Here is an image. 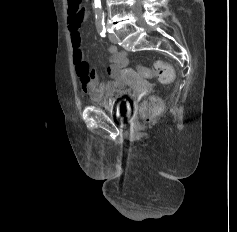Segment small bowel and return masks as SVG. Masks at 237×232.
I'll return each instance as SVG.
<instances>
[{
	"label": "small bowel",
	"mask_w": 237,
	"mask_h": 232,
	"mask_svg": "<svg viewBox=\"0 0 237 232\" xmlns=\"http://www.w3.org/2000/svg\"><path fill=\"white\" fill-rule=\"evenodd\" d=\"M84 18V15L82 17L69 15L68 17L75 69L80 78L82 90L89 95L91 100L112 104L120 99L123 91H125L123 72L128 64V59L125 52L119 50L116 46H110L108 48L110 64L107 68L110 80L103 83L99 82L96 72L89 69L81 47L80 28Z\"/></svg>",
	"instance_id": "c3829d8e"
}]
</instances>
